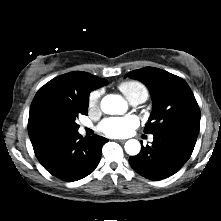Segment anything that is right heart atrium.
Returning a JSON list of instances; mask_svg holds the SVG:
<instances>
[{"mask_svg":"<svg viewBox=\"0 0 221 221\" xmlns=\"http://www.w3.org/2000/svg\"><path fill=\"white\" fill-rule=\"evenodd\" d=\"M101 96V91L100 90H95L91 92L88 98V106L90 109H94L98 106L99 100Z\"/></svg>","mask_w":221,"mask_h":221,"instance_id":"right-heart-atrium-1","label":"right heart atrium"}]
</instances>
